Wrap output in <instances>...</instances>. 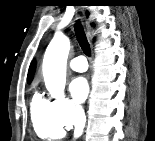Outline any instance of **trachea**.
Wrapping results in <instances>:
<instances>
[{
    "label": "trachea",
    "instance_id": "1",
    "mask_svg": "<svg viewBox=\"0 0 155 141\" xmlns=\"http://www.w3.org/2000/svg\"><path fill=\"white\" fill-rule=\"evenodd\" d=\"M75 33H76L77 41L80 47L82 48L83 52L87 56H90L91 55L90 46L85 36V33L83 31V28L79 22L75 25Z\"/></svg>",
    "mask_w": 155,
    "mask_h": 141
}]
</instances>
